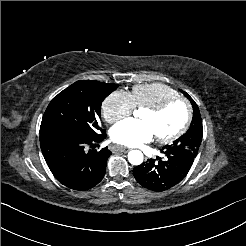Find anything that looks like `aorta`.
I'll return each mask as SVG.
<instances>
[{
	"label": "aorta",
	"instance_id": "obj_1",
	"mask_svg": "<svg viewBox=\"0 0 246 246\" xmlns=\"http://www.w3.org/2000/svg\"><path fill=\"white\" fill-rule=\"evenodd\" d=\"M128 160L132 165H140L143 162V153L140 150H131L128 153Z\"/></svg>",
	"mask_w": 246,
	"mask_h": 246
}]
</instances>
